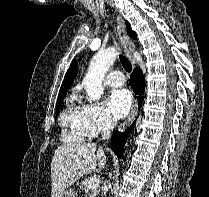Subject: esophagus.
<instances>
[{
    "instance_id": "obj_1",
    "label": "esophagus",
    "mask_w": 209,
    "mask_h": 197,
    "mask_svg": "<svg viewBox=\"0 0 209 197\" xmlns=\"http://www.w3.org/2000/svg\"><path fill=\"white\" fill-rule=\"evenodd\" d=\"M116 23H117L116 29H117L118 37L123 46L124 52L129 57L132 65L135 66V60L131 56L133 52V44L126 34V29L120 16L116 17ZM137 101L138 100L136 99L135 103L132 106L128 118L122 123V125L119 128V131H124L134 121L137 115V107H138Z\"/></svg>"
}]
</instances>
